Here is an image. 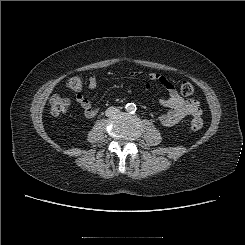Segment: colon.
<instances>
[{"instance_id":"colon-1","label":"colon","mask_w":245,"mask_h":245,"mask_svg":"<svg viewBox=\"0 0 245 245\" xmlns=\"http://www.w3.org/2000/svg\"><path fill=\"white\" fill-rule=\"evenodd\" d=\"M67 86L72 91H81L83 88V81L80 76H72L67 81ZM180 91L185 96H190L194 92V87L189 82H183L180 86ZM71 101L63 96L54 95L50 99V110L53 114L59 115L68 111ZM203 126V120L200 116H195L190 122V129L192 131H198Z\"/></svg>"}]
</instances>
